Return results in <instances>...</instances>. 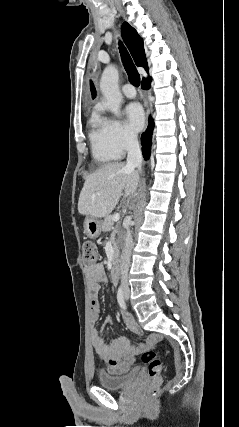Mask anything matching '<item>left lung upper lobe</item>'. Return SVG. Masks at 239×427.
<instances>
[{
	"label": "left lung upper lobe",
	"mask_w": 239,
	"mask_h": 427,
	"mask_svg": "<svg viewBox=\"0 0 239 427\" xmlns=\"http://www.w3.org/2000/svg\"><path fill=\"white\" fill-rule=\"evenodd\" d=\"M91 92H92V96H93V98L95 97V95H96V90H95V88H94V86H93V84L91 83Z\"/></svg>",
	"instance_id": "left-lung-upper-lobe-1"
}]
</instances>
